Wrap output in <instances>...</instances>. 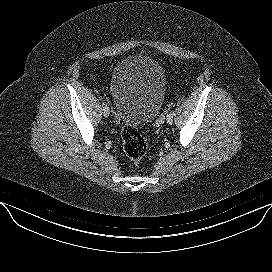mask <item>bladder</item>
Returning a JSON list of instances; mask_svg holds the SVG:
<instances>
[{
    "label": "bladder",
    "instance_id": "31cf9c89",
    "mask_svg": "<svg viewBox=\"0 0 272 272\" xmlns=\"http://www.w3.org/2000/svg\"><path fill=\"white\" fill-rule=\"evenodd\" d=\"M110 92L124 123L134 127L144 125L162 108L166 93L165 71L152 57L130 56L115 67Z\"/></svg>",
    "mask_w": 272,
    "mask_h": 272
}]
</instances>
